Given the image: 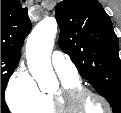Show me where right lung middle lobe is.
Listing matches in <instances>:
<instances>
[{"label":"right lung middle lobe","instance_id":"right-lung-middle-lobe-1","mask_svg":"<svg viewBox=\"0 0 121 113\" xmlns=\"http://www.w3.org/2000/svg\"><path fill=\"white\" fill-rule=\"evenodd\" d=\"M20 58L10 57L1 54V112L9 113V109L5 103V89L7 82L18 65Z\"/></svg>","mask_w":121,"mask_h":113}]
</instances>
